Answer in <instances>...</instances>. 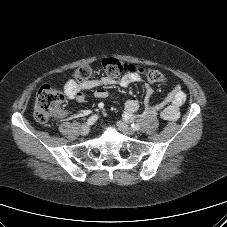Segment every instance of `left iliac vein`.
<instances>
[{
  "mask_svg": "<svg viewBox=\"0 0 227 227\" xmlns=\"http://www.w3.org/2000/svg\"><path fill=\"white\" fill-rule=\"evenodd\" d=\"M117 126L118 128L124 133V134H127V135H133L135 134V130L128 126L124 121H117Z\"/></svg>",
  "mask_w": 227,
  "mask_h": 227,
  "instance_id": "1",
  "label": "left iliac vein"
}]
</instances>
